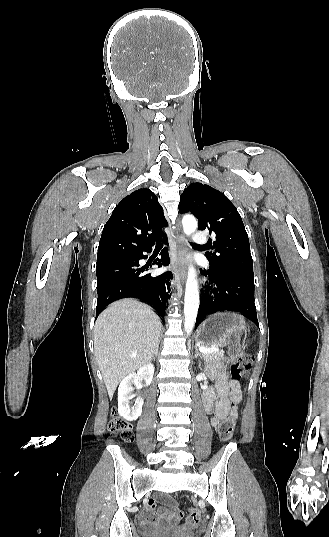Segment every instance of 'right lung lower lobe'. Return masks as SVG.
I'll return each mask as SVG.
<instances>
[{
  "label": "right lung lower lobe",
  "mask_w": 329,
  "mask_h": 537,
  "mask_svg": "<svg viewBox=\"0 0 329 537\" xmlns=\"http://www.w3.org/2000/svg\"><path fill=\"white\" fill-rule=\"evenodd\" d=\"M165 240V238H164ZM152 251V248L144 250ZM122 258H111L97 261V294L96 318L99 313L111 302L126 298H139L152 305L158 315L163 319L166 310V301L170 292V272L152 277L147 273L148 267H139V260L146 259L143 252ZM153 264L166 266L169 264L167 248L161 251V258Z\"/></svg>",
  "instance_id": "obj_1"
}]
</instances>
